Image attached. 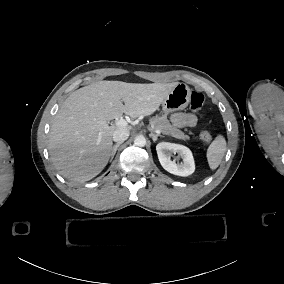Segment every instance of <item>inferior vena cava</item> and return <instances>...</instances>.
<instances>
[{
    "label": "inferior vena cava",
    "mask_w": 284,
    "mask_h": 284,
    "mask_svg": "<svg viewBox=\"0 0 284 284\" xmlns=\"http://www.w3.org/2000/svg\"><path fill=\"white\" fill-rule=\"evenodd\" d=\"M129 138V131L125 129L116 130L113 133V140L118 143H123Z\"/></svg>",
    "instance_id": "obj_1"
}]
</instances>
